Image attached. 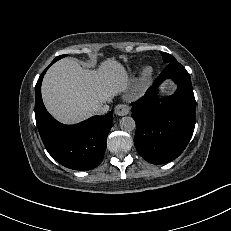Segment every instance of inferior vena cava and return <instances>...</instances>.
Returning <instances> with one entry per match:
<instances>
[{"mask_svg":"<svg viewBox=\"0 0 231 231\" xmlns=\"http://www.w3.org/2000/svg\"><path fill=\"white\" fill-rule=\"evenodd\" d=\"M109 106L107 105H100V106H95L92 109L93 114L95 115H104L108 112Z\"/></svg>","mask_w":231,"mask_h":231,"instance_id":"inferior-vena-cava-1","label":"inferior vena cava"}]
</instances>
